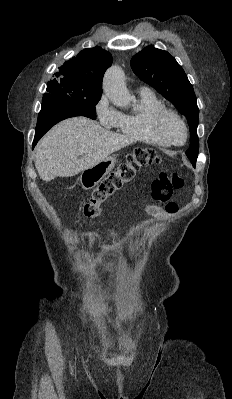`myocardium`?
<instances>
[{
	"instance_id": "f54148a6",
	"label": "myocardium",
	"mask_w": 232,
	"mask_h": 399,
	"mask_svg": "<svg viewBox=\"0 0 232 399\" xmlns=\"http://www.w3.org/2000/svg\"><path fill=\"white\" fill-rule=\"evenodd\" d=\"M169 115H172L175 118H177L181 122V124L184 126L185 131H186V138H185L184 142L176 143L165 132L164 120ZM152 125H153V129H154L155 133L170 145L182 146L189 139V127H188L185 119L182 117V115L174 109L164 108V109L160 110L159 112H157L153 118Z\"/></svg>"
}]
</instances>
